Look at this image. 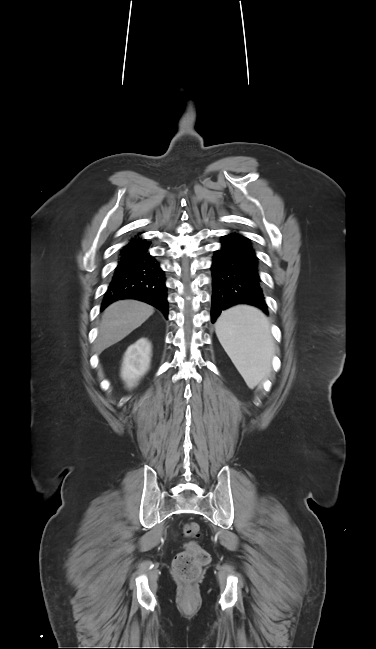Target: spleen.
<instances>
[{
	"mask_svg": "<svg viewBox=\"0 0 376 649\" xmlns=\"http://www.w3.org/2000/svg\"><path fill=\"white\" fill-rule=\"evenodd\" d=\"M216 335L249 388L271 370L274 341L267 317L257 308L237 305L222 312Z\"/></svg>",
	"mask_w": 376,
	"mask_h": 649,
	"instance_id": "1",
	"label": "spleen"
}]
</instances>
